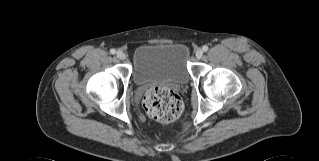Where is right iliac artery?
Segmentation results:
<instances>
[{"instance_id":"obj_1","label":"right iliac artery","mask_w":319,"mask_h":161,"mask_svg":"<svg viewBox=\"0 0 319 161\" xmlns=\"http://www.w3.org/2000/svg\"><path fill=\"white\" fill-rule=\"evenodd\" d=\"M110 53H111V54H115V53H116V50H115V49H111V50H110Z\"/></svg>"}]
</instances>
